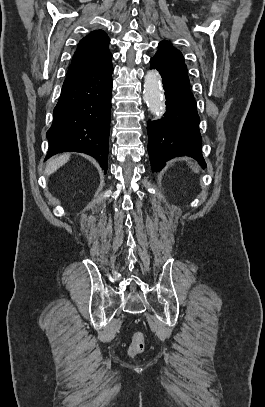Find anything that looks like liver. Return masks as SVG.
I'll use <instances>...</instances> for the list:
<instances>
[{"instance_id": "obj_1", "label": "liver", "mask_w": 265, "mask_h": 407, "mask_svg": "<svg viewBox=\"0 0 265 407\" xmlns=\"http://www.w3.org/2000/svg\"><path fill=\"white\" fill-rule=\"evenodd\" d=\"M70 158L69 154H62L51 159L46 167V175L49 176L56 172L61 166H63Z\"/></svg>"}]
</instances>
